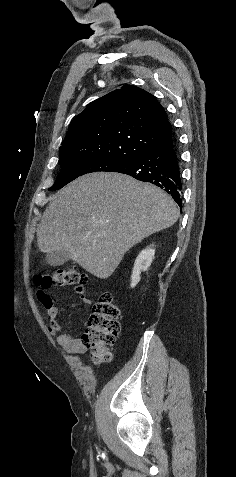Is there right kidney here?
<instances>
[{
  "instance_id": "1",
  "label": "right kidney",
  "mask_w": 236,
  "mask_h": 477,
  "mask_svg": "<svg viewBox=\"0 0 236 477\" xmlns=\"http://www.w3.org/2000/svg\"><path fill=\"white\" fill-rule=\"evenodd\" d=\"M155 250L152 248H146L140 252L135 260L134 268L131 276V287H135L140 281V273L146 271L154 258Z\"/></svg>"
}]
</instances>
